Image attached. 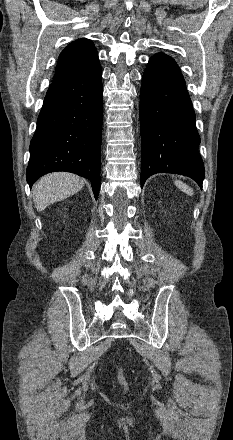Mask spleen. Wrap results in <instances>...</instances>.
Listing matches in <instances>:
<instances>
[{
    "label": "spleen",
    "mask_w": 233,
    "mask_h": 440,
    "mask_svg": "<svg viewBox=\"0 0 233 440\" xmlns=\"http://www.w3.org/2000/svg\"><path fill=\"white\" fill-rule=\"evenodd\" d=\"M175 185H176L179 189H181L184 193H186V194H188V195H190V196H192V195L194 194L193 190H192L187 184L183 183V182L180 181V180H176V181H175Z\"/></svg>",
    "instance_id": "obj_1"
}]
</instances>
